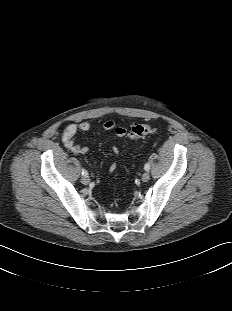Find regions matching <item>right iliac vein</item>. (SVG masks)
Segmentation results:
<instances>
[{
    "label": "right iliac vein",
    "instance_id": "63e3f726",
    "mask_svg": "<svg viewBox=\"0 0 232 311\" xmlns=\"http://www.w3.org/2000/svg\"><path fill=\"white\" fill-rule=\"evenodd\" d=\"M81 182H82L83 184L87 185V184H89L90 179H89L88 176H82Z\"/></svg>",
    "mask_w": 232,
    "mask_h": 311
}]
</instances>
